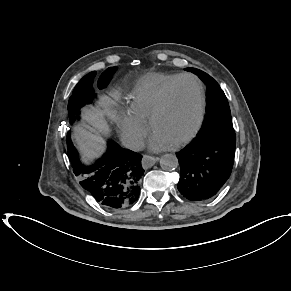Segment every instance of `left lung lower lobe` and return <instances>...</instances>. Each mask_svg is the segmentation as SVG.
Listing matches in <instances>:
<instances>
[{"label":"left lung lower lobe","instance_id":"left-lung-lower-lobe-1","mask_svg":"<svg viewBox=\"0 0 291 291\" xmlns=\"http://www.w3.org/2000/svg\"><path fill=\"white\" fill-rule=\"evenodd\" d=\"M176 155L179 192L190 201H204L217 195L230 177L235 143L196 136Z\"/></svg>","mask_w":291,"mask_h":291}]
</instances>
